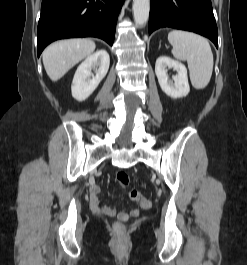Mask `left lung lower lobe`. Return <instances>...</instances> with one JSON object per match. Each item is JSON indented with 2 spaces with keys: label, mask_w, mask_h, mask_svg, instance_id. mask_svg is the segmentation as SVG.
I'll list each match as a JSON object with an SVG mask.
<instances>
[{
  "label": "left lung lower lobe",
  "mask_w": 247,
  "mask_h": 265,
  "mask_svg": "<svg viewBox=\"0 0 247 265\" xmlns=\"http://www.w3.org/2000/svg\"><path fill=\"white\" fill-rule=\"evenodd\" d=\"M162 27L198 33L218 47L211 0H150L149 34Z\"/></svg>",
  "instance_id": "0a47b994"
}]
</instances>
